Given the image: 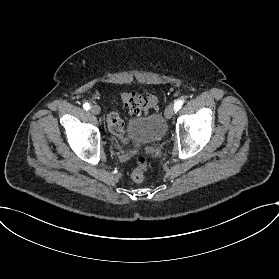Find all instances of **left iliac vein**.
Segmentation results:
<instances>
[{
	"label": "left iliac vein",
	"mask_w": 279,
	"mask_h": 279,
	"mask_svg": "<svg viewBox=\"0 0 279 279\" xmlns=\"http://www.w3.org/2000/svg\"><path fill=\"white\" fill-rule=\"evenodd\" d=\"M165 115L168 119H171L174 115V107L173 105H168L165 110Z\"/></svg>",
	"instance_id": "obj_1"
}]
</instances>
